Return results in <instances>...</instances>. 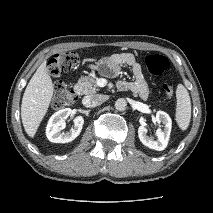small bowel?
I'll return each instance as SVG.
<instances>
[{"instance_id": "obj_1", "label": "small bowel", "mask_w": 213, "mask_h": 213, "mask_svg": "<svg viewBox=\"0 0 213 213\" xmlns=\"http://www.w3.org/2000/svg\"><path fill=\"white\" fill-rule=\"evenodd\" d=\"M122 65H127L131 68L134 80H121L117 84L118 88L122 91H131L135 94H138L141 98H147L149 93L148 84L143 74L141 65L136 61L132 54H114L102 60L96 67L105 76L113 77L118 74Z\"/></svg>"}]
</instances>
